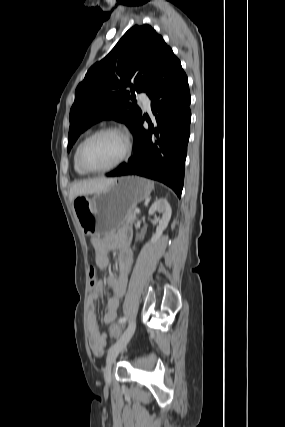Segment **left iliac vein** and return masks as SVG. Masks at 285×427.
<instances>
[{
  "label": "left iliac vein",
  "instance_id": "left-iliac-vein-1",
  "mask_svg": "<svg viewBox=\"0 0 285 427\" xmlns=\"http://www.w3.org/2000/svg\"><path fill=\"white\" fill-rule=\"evenodd\" d=\"M136 328V322L133 321L129 324L123 335L116 341L114 345L110 347L108 350L106 366L104 368V379L107 384L110 383L111 380V366L115 361L118 354L126 347L129 340L134 334Z\"/></svg>",
  "mask_w": 285,
  "mask_h": 427
}]
</instances>
